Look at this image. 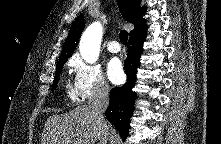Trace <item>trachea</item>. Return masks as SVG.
I'll return each instance as SVG.
<instances>
[{
  "instance_id": "1",
  "label": "trachea",
  "mask_w": 221,
  "mask_h": 144,
  "mask_svg": "<svg viewBox=\"0 0 221 144\" xmlns=\"http://www.w3.org/2000/svg\"><path fill=\"white\" fill-rule=\"evenodd\" d=\"M119 39H120V41H121V43L123 45H126L127 44V40H128V33L125 30H122L119 33Z\"/></svg>"
}]
</instances>
